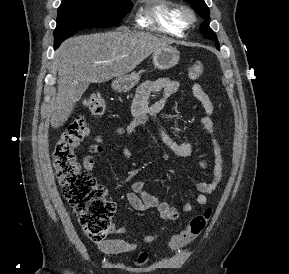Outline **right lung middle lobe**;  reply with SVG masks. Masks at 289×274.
Listing matches in <instances>:
<instances>
[{"label": "right lung middle lobe", "mask_w": 289, "mask_h": 274, "mask_svg": "<svg viewBox=\"0 0 289 274\" xmlns=\"http://www.w3.org/2000/svg\"><path fill=\"white\" fill-rule=\"evenodd\" d=\"M131 8L130 0H63L58 9L54 47L81 29L118 24Z\"/></svg>", "instance_id": "right-lung-middle-lobe-1"}]
</instances>
